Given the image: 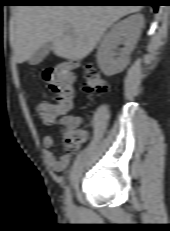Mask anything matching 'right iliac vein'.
Listing matches in <instances>:
<instances>
[{"mask_svg":"<svg viewBox=\"0 0 170 231\" xmlns=\"http://www.w3.org/2000/svg\"><path fill=\"white\" fill-rule=\"evenodd\" d=\"M72 208H73L72 205H69L68 210H72Z\"/></svg>","mask_w":170,"mask_h":231,"instance_id":"obj_1","label":"right iliac vein"}]
</instances>
